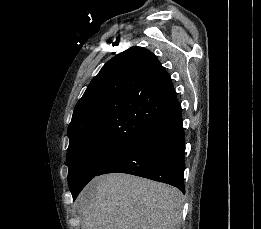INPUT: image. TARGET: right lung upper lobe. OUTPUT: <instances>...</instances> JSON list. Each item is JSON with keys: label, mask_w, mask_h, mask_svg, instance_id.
<instances>
[{"label": "right lung upper lobe", "mask_w": 261, "mask_h": 229, "mask_svg": "<svg viewBox=\"0 0 261 229\" xmlns=\"http://www.w3.org/2000/svg\"><path fill=\"white\" fill-rule=\"evenodd\" d=\"M176 104L172 81L156 56L131 47L103 66L76 104L69 145H131Z\"/></svg>", "instance_id": "obj_1"}]
</instances>
